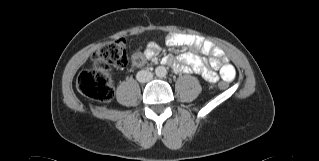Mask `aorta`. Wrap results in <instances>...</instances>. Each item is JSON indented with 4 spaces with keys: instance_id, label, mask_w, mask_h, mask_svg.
Segmentation results:
<instances>
[{
    "instance_id": "762f6f07",
    "label": "aorta",
    "mask_w": 319,
    "mask_h": 161,
    "mask_svg": "<svg viewBox=\"0 0 319 161\" xmlns=\"http://www.w3.org/2000/svg\"><path fill=\"white\" fill-rule=\"evenodd\" d=\"M155 74L157 77H165L166 74H167V70L164 66H158L156 69H155Z\"/></svg>"
}]
</instances>
